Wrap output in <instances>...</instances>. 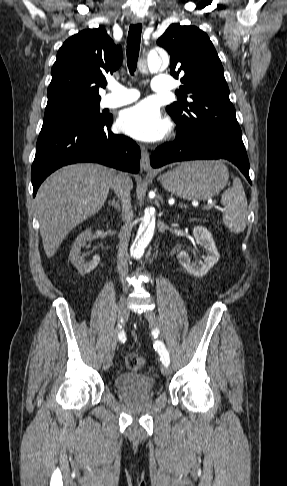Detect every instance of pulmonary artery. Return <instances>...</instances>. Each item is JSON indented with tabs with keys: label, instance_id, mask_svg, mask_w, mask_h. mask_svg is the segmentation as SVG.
Here are the masks:
<instances>
[{
	"label": "pulmonary artery",
	"instance_id": "pulmonary-artery-1",
	"mask_svg": "<svg viewBox=\"0 0 287 486\" xmlns=\"http://www.w3.org/2000/svg\"><path fill=\"white\" fill-rule=\"evenodd\" d=\"M152 89L158 93H167L173 89V81L170 76L158 75L152 81ZM110 93L102 98V106L119 107L127 105L138 99L139 93L134 89H128L121 84L109 85Z\"/></svg>",
	"mask_w": 287,
	"mask_h": 486
}]
</instances>
